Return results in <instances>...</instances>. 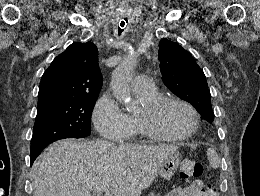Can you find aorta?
Listing matches in <instances>:
<instances>
[{
    "mask_svg": "<svg viewBox=\"0 0 260 196\" xmlns=\"http://www.w3.org/2000/svg\"><path fill=\"white\" fill-rule=\"evenodd\" d=\"M136 65L137 56L134 52H130L112 73L110 87L113 95L120 103L126 106L132 105L130 82Z\"/></svg>",
    "mask_w": 260,
    "mask_h": 196,
    "instance_id": "aorta-1",
    "label": "aorta"
}]
</instances>
